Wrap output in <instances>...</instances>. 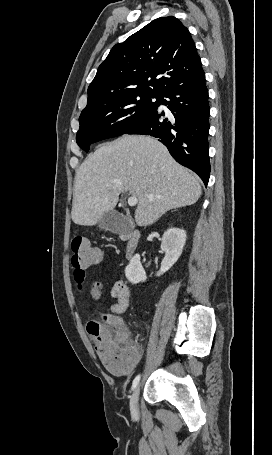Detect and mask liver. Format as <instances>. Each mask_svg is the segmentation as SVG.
I'll list each match as a JSON object with an SVG mask.
<instances>
[{"instance_id":"6515ba94","label":"liver","mask_w":272,"mask_h":455,"mask_svg":"<svg viewBox=\"0 0 272 455\" xmlns=\"http://www.w3.org/2000/svg\"><path fill=\"white\" fill-rule=\"evenodd\" d=\"M130 192L138 200L135 221L148 226L171 209L192 205L202 189L157 139L124 135L100 146L78 168L72 203L75 224L92 226Z\"/></svg>"}]
</instances>
